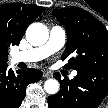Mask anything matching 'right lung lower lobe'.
Masks as SVG:
<instances>
[{
	"mask_svg": "<svg viewBox=\"0 0 108 108\" xmlns=\"http://www.w3.org/2000/svg\"><path fill=\"white\" fill-rule=\"evenodd\" d=\"M42 72L37 69L7 71V64L0 65V108H19L26 87L41 79Z\"/></svg>",
	"mask_w": 108,
	"mask_h": 108,
	"instance_id": "right-lung-lower-lobe-1",
	"label": "right lung lower lobe"
}]
</instances>
